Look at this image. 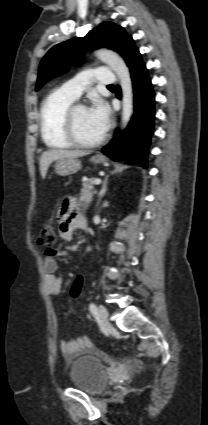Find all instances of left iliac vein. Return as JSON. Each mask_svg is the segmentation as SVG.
<instances>
[{"label":"left iliac vein","mask_w":208,"mask_h":425,"mask_svg":"<svg viewBox=\"0 0 208 425\" xmlns=\"http://www.w3.org/2000/svg\"><path fill=\"white\" fill-rule=\"evenodd\" d=\"M98 315H99V322L102 325H106L108 321V310L103 306L99 305L98 307Z\"/></svg>","instance_id":"1"}]
</instances>
